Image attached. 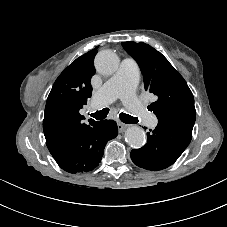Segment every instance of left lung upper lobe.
Returning <instances> with one entry per match:
<instances>
[{"label": "left lung upper lobe", "mask_w": 227, "mask_h": 227, "mask_svg": "<svg viewBox=\"0 0 227 227\" xmlns=\"http://www.w3.org/2000/svg\"><path fill=\"white\" fill-rule=\"evenodd\" d=\"M122 46L137 61L145 90L157 97L148 108L157 116L158 122L192 134L196 118L194 97L183 77L150 45L128 41L122 42Z\"/></svg>", "instance_id": "obj_1"}]
</instances>
